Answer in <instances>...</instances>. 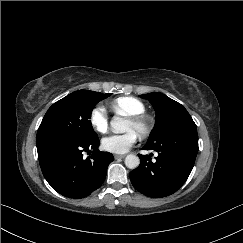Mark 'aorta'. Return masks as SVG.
I'll list each match as a JSON object with an SVG mask.
<instances>
[{
    "label": "aorta",
    "mask_w": 243,
    "mask_h": 243,
    "mask_svg": "<svg viewBox=\"0 0 243 243\" xmlns=\"http://www.w3.org/2000/svg\"><path fill=\"white\" fill-rule=\"evenodd\" d=\"M110 127L113 133H124L127 131V125L126 121L118 116H115L111 122H110ZM140 164V159L138 156L134 154H129L125 158V165L129 169H136Z\"/></svg>",
    "instance_id": "1"
}]
</instances>
